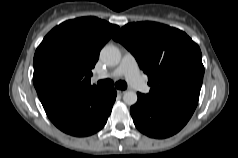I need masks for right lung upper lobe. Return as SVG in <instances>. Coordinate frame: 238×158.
Masks as SVG:
<instances>
[{"label": "right lung upper lobe", "instance_id": "right-lung-upper-lobe-1", "mask_svg": "<svg viewBox=\"0 0 238 158\" xmlns=\"http://www.w3.org/2000/svg\"><path fill=\"white\" fill-rule=\"evenodd\" d=\"M118 29L96 17L68 20L53 28L34 55L33 83L37 93L100 89L90 84L91 70L101 48Z\"/></svg>", "mask_w": 238, "mask_h": 158}]
</instances>
